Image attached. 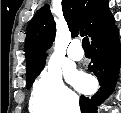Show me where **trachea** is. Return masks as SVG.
I'll return each mask as SVG.
<instances>
[{
    "mask_svg": "<svg viewBox=\"0 0 121 113\" xmlns=\"http://www.w3.org/2000/svg\"><path fill=\"white\" fill-rule=\"evenodd\" d=\"M82 46L84 50H90V43L88 37H84L82 40Z\"/></svg>",
    "mask_w": 121,
    "mask_h": 113,
    "instance_id": "trachea-1",
    "label": "trachea"
}]
</instances>
